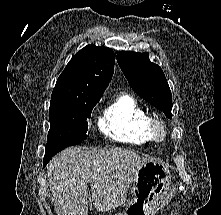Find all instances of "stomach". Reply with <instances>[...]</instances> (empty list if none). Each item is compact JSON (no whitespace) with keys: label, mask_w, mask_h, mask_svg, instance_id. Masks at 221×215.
Here are the masks:
<instances>
[{"label":"stomach","mask_w":221,"mask_h":215,"mask_svg":"<svg viewBox=\"0 0 221 215\" xmlns=\"http://www.w3.org/2000/svg\"><path fill=\"white\" fill-rule=\"evenodd\" d=\"M131 183L133 198L124 213L116 215H154L170 191L171 174L165 165L149 161L137 170Z\"/></svg>","instance_id":"obj_1"}]
</instances>
